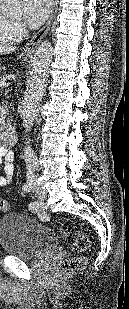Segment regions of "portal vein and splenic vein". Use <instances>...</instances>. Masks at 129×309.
Masks as SVG:
<instances>
[{"mask_svg": "<svg viewBox=\"0 0 129 309\" xmlns=\"http://www.w3.org/2000/svg\"><path fill=\"white\" fill-rule=\"evenodd\" d=\"M6 86V83L2 82L0 83V87H5Z\"/></svg>", "mask_w": 129, "mask_h": 309, "instance_id": "obj_1", "label": "portal vein and splenic vein"}]
</instances>
